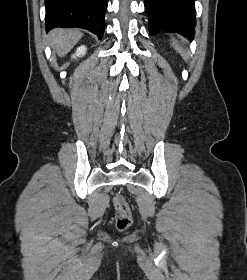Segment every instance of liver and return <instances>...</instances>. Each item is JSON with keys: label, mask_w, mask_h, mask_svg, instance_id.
Here are the masks:
<instances>
[{"label": "liver", "mask_w": 247, "mask_h": 280, "mask_svg": "<svg viewBox=\"0 0 247 280\" xmlns=\"http://www.w3.org/2000/svg\"><path fill=\"white\" fill-rule=\"evenodd\" d=\"M78 30L54 29L49 33L50 45L56 50L59 57L65 56L82 38Z\"/></svg>", "instance_id": "liver-1"}]
</instances>
